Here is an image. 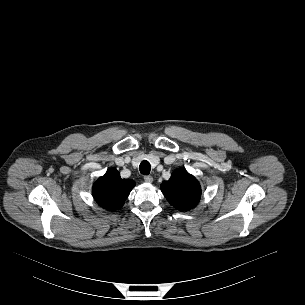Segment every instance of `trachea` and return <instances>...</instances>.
Returning a JSON list of instances; mask_svg holds the SVG:
<instances>
[{
	"label": "trachea",
	"mask_w": 305,
	"mask_h": 305,
	"mask_svg": "<svg viewBox=\"0 0 305 305\" xmlns=\"http://www.w3.org/2000/svg\"><path fill=\"white\" fill-rule=\"evenodd\" d=\"M139 170L141 174L148 175L151 170V165L148 161L144 160L140 163Z\"/></svg>",
	"instance_id": "trachea-1"
}]
</instances>
